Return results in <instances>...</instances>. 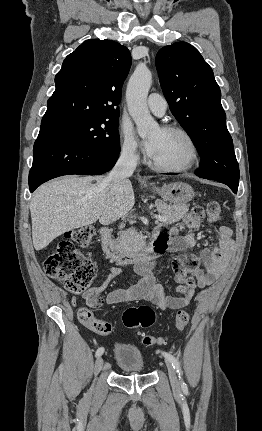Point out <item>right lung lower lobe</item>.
<instances>
[{"label":"right lung lower lobe","mask_w":262,"mask_h":431,"mask_svg":"<svg viewBox=\"0 0 262 431\" xmlns=\"http://www.w3.org/2000/svg\"><path fill=\"white\" fill-rule=\"evenodd\" d=\"M119 151L110 153L73 139L39 134L33 148L29 189L62 175H100L116 163Z\"/></svg>","instance_id":"98d812e1"}]
</instances>
